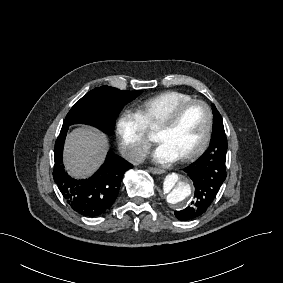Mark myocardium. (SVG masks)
<instances>
[{
	"mask_svg": "<svg viewBox=\"0 0 283 283\" xmlns=\"http://www.w3.org/2000/svg\"><path fill=\"white\" fill-rule=\"evenodd\" d=\"M193 104H199L205 109L206 117H207L206 129L200 144L192 151L178 157V159L181 161H188L190 159H193L198 155H200L207 148L211 139V133L213 127V111L211 107L201 99H190L171 108L165 116L161 117L157 127L155 128V129L159 128L164 130L171 129L176 124V122L183 114V112Z\"/></svg>",
	"mask_w": 283,
	"mask_h": 283,
	"instance_id": "obj_1",
	"label": "myocardium"
}]
</instances>
